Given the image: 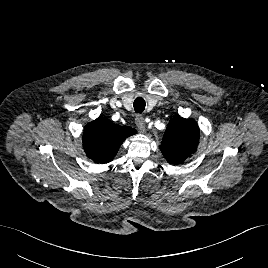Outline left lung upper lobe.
<instances>
[{"label":"left lung upper lobe","instance_id":"5c2ea615","mask_svg":"<svg viewBox=\"0 0 268 268\" xmlns=\"http://www.w3.org/2000/svg\"><path fill=\"white\" fill-rule=\"evenodd\" d=\"M199 135L195 120L173 118L167 125L160 150L169 163L180 164L196 151Z\"/></svg>","mask_w":268,"mask_h":268}]
</instances>
